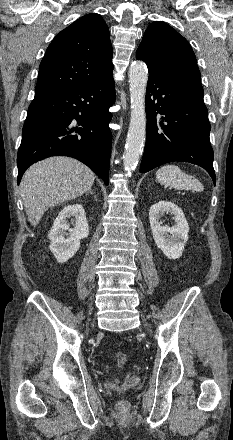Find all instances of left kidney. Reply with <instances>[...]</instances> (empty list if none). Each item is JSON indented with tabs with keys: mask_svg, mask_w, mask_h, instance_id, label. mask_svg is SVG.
I'll return each instance as SVG.
<instances>
[{
	"mask_svg": "<svg viewBox=\"0 0 233 440\" xmlns=\"http://www.w3.org/2000/svg\"><path fill=\"white\" fill-rule=\"evenodd\" d=\"M165 213L174 215V226L161 225L160 218ZM149 221L153 239L164 255L169 259H177L182 256L189 233V226L182 209L172 202L159 201L151 206Z\"/></svg>",
	"mask_w": 233,
	"mask_h": 440,
	"instance_id": "left-kidney-1",
	"label": "left kidney"
}]
</instances>
